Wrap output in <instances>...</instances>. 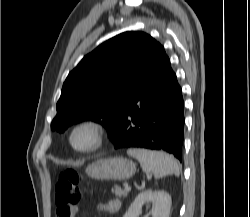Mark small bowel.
Listing matches in <instances>:
<instances>
[{"instance_id":"small-bowel-1","label":"small bowel","mask_w":250,"mask_h":217,"mask_svg":"<svg viewBox=\"0 0 250 217\" xmlns=\"http://www.w3.org/2000/svg\"><path fill=\"white\" fill-rule=\"evenodd\" d=\"M121 207V201L117 198L110 199L108 202H106L104 205L101 206L102 211L109 213V214H114L117 213L120 210ZM78 212V208H74L71 210V212L68 214H75ZM67 215V217H68Z\"/></svg>"}]
</instances>
